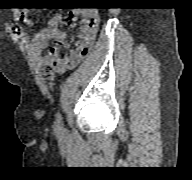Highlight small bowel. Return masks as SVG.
<instances>
[{
  "label": "small bowel",
  "mask_w": 192,
  "mask_h": 180,
  "mask_svg": "<svg viewBox=\"0 0 192 180\" xmlns=\"http://www.w3.org/2000/svg\"><path fill=\"white\" fill-rule=\"evenodd\" d=\"M70 15L72 20L80 18L74 39L67 40L65 32L60 29L63 16L62 14H56L50 19L48 26L38 32L30 42V49L34 54L41 53L50 40H56L66 48L72 46L64 54L54 48L50 55L44 58L42 72L48 79H53L57 73L65 72L67 69L77 65L93 48L98 29V14L95 11L83 9L74 10ZM21 18L24 21H28L27 11L21 12Z\"/></svg>",
  "instance_id": "c3829d8e"
}]
</instances>
